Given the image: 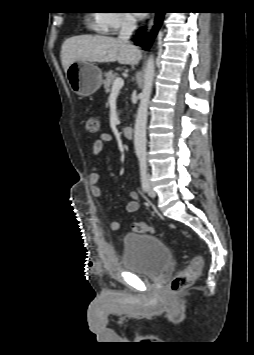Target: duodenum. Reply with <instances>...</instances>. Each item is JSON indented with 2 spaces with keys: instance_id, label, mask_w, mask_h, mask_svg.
Wrapping results in <instances>:
<instances>
[{
  "instance_id": "obj_1",
  "label": "duodenum",
  "mask_w": 254,
  "mask_h": 355,
  "mask_svg": "<svg viewBox=\"0 0 254 355\" xmlns=\"http://www.w3.org/2000/svg\"><path fill=\"white\" fill-rule=\"evenodd\" d=\"M134 129L131 125H125L123 127V134L127 138H131L133 136Z\"/></svg>"
}]
</instances>
